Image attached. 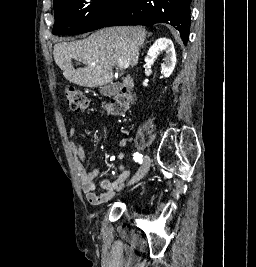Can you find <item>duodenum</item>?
<instances>
[{
    "instance_id": "duodenum-1",
    "label": "duodenum",
    "mask_w": 256,
    "mask_h": 267,
    "mask_svg": "<svg viewBox=\"0 0 256 267\" xmlns=\"http://www.w3.org/2000/svg\"><path fill=\"white\" fill-rule=\"evenodd\" d=\"M123 85L126 87V88H131L133 86V80L131 77H127L124 79L123 81Z\"/></svg>"
}]
</instances>
